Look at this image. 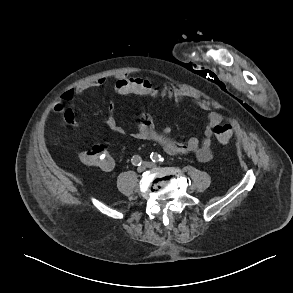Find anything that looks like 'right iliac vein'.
<instances>
[{
  "label": "right iliac vein",
  "mask_w": 293,
  "mask_h": 293,
  "mask_svg": "<svg viewBox=\"0 0 293 293\" xmlns=\"http://www.w3.org/2000/svg\"><path fill=\"white\" fill-rule=\"evenodd\" d=\"M145 170V166L144 165H142V166H140V167H138V172H143Z\"/></svg>",
  "instance_id": "63e3f726"
}]
</instances>
